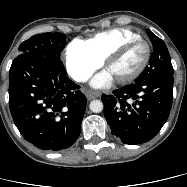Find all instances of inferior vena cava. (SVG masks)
Segmentation results:
<instances>
[{
  "label": "inferior vena cava",
  "instance_id": "1",
  "mask_svg": "<svg viewBox=\"0 0 187 187\" xmlns=\"http://www.w3.org/2000/svg\"><path fill=\"white\" fill-rule=\"evenodd\" d=\"M88 77L89 76L87 74H85V73H75L73 75L74 80H76L78 82H84L85 80L88 79Z\"/></svg>",
  "mask_w": 187,
  "mask_h": 187
}]
</instances>
